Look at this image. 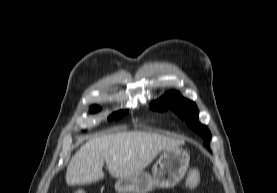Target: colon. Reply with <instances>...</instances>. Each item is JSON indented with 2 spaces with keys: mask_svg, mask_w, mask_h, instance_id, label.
Segmentation results:
<instances>
[{
  "mask_svg": "<svg viewBox=\"0 0 277 193\" xmlns=\"http://www.w3.org/2000/svg\"><path fill=\"white\" fill-rule=\"evenodd\" d=\"M201 180L200 172L197 169H192L186 178L184 188L186 191H191L193 190ZM74 193H87L84 190H77Z\"/></svg>",
  "mask_w": 277,
  "mask_h": 193,
  "instance_id": "1",
  "label": "colon"
}]
</instances>
